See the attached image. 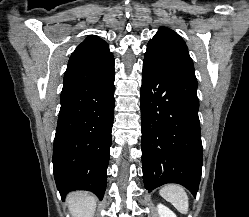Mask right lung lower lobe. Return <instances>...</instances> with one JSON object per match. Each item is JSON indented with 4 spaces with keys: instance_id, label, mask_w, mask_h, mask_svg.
Segmentation results:
<instances>
[{
    "instance_id": "obj_1",
    "label": "right lung lower lobe",
    "mask_w": 249,
    "mask_h": 217,
    "mask_svg": "<svg viewBox=\"0 0 249 217\" xmlns=\"http://www.w3.org/2000/svg\"><path fill=\"white\" fill-rule=\"evenodd\" d=\"M114 79L113 55L67 67L52 159L62 198L71 190H88L100 199L104 195L115 105Z\"/></svg>"
}]
</instances>
